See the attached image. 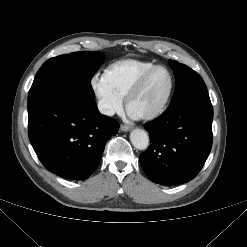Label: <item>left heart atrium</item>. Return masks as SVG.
<instances>
[{"label":"left heart atrium","mask_w":247,"mask_h":247,"mask_svg":"<svg viewBox=\"0 0 247 247\" xmlns=\"http://www.w3.org/2000/svg\"><path fill=\"white\" fill-rule=\"evenodd\" d=\"M129 114L132 116V117H137V113H135V112H133V111H131V112H129Z\"/></svg>","instance_id":"39dd6f15"}]
</instances>
